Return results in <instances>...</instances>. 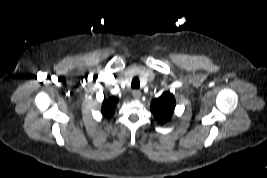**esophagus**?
I'll return each instance as SVG.
<instances>
[{"label": "esophagus", "instance_id": "1", "mask_svg": "<svg viewBox=\"0 0 267 178\" xmlns=\"http://www.w3.org/2000/svg\"><path fill=\"white\" fill-rule=\"evenodd\" d=\"M132 95L135 99H140L141 92L139 90H133Z\"/></svg>", "mask_w": 267, "mask_h": 178}]
</instances>
